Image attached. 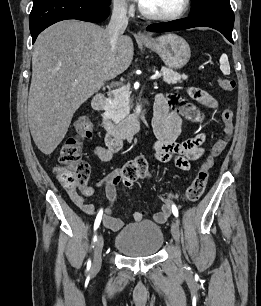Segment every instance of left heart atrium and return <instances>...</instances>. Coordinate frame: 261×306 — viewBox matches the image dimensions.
Returning <instances> with one entry per match:
<instances>
[{"label":"left heart atrium","mask_w":261,"mask_h":306,"mask_svg":"<svg viewBox=\"0 0 261 306\" xmlns=\"http://www.w3.org/2000/svg\"><path fill=\"white\" fill-rule=\"evenodd\" d=\"M135 1H137V2H139V3H141V2H142V0H135Z\"/></svg>","instance_id":"obj_1"}]
</instances>
